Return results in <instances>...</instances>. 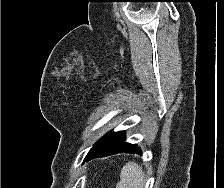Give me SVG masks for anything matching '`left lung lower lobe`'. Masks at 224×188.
Wrapping results in <instances>:
<instances>
[{
  "mask_svg": "<svg viewBox=\"0 0 224 188\" xmlns=\"http://www.w3.org/2000/svg\"><path fill=\"white\" fill-rule=\"evenodd\" d=\"M134 151L141 152L136 145L125 142L124 133L110 132L102 137L96 146L89 151L84 161L121 152L134 153Z\"/></svg>",
  "mask_w": 224,
  "mask_h": 188,
  "instance_id": "0a47b994",
  "label": "left lung lower lobe"
}]
</instances>
